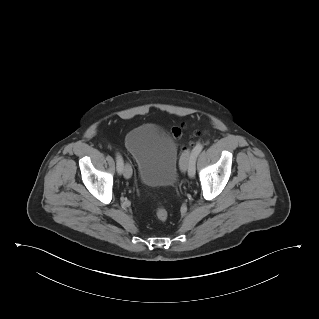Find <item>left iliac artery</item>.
<instances>
[{"label":"left iliac artery","mask_w":319,"mask_h":319,"mask_svg":"<svg viewBox=\"0 0 319 319\" xmlns=\"http://www.w3.org/2000/svg\"><path fill=\"white\" fill-rule=\"evenodd\" d=\"M203 145L202 144H197L194 149L191 152L189 162H188V173L191 177L195 176V164H196V158L199 155V153L202 151Z\"/></svg>","instance_id":"1"}]
</instances>
